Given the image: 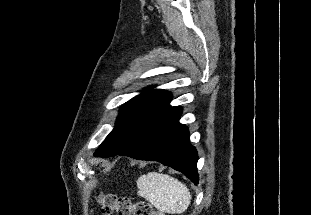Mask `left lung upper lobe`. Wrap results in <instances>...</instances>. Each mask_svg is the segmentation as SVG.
I'll use <instances>...</instances> for the list:
<instances>
[{
  "label": "left lung upper lobe",
  "instance_id": "obj_1",
  "mask_svg": "<svg viewBox=\"0 0 311 215\" xmlns=\"http://www.w3.org/2000/svg\"><path fill=\"white\" fill-rule=\"evenodd\" d=\"M170 101V92L150 88L129 100L121 107L114 129L99 146L94 156L111 157L118 154Z\"/></svg>",
  "mask_w": 311,
  "mask_h": 215
}]
</instances>
